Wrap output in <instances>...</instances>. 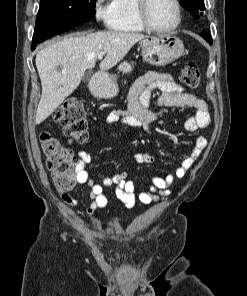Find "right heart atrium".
Segmentation results:
<instances>
[{"label":"right heart atrium","instance_id":"right-heart-atrium-1","mask_svg":"<svg viewBox=\"0 0 247 296\" xmlns=\"http://www.w3.org/2000/svg\"><path fill=\"white\" fill-rule=\"evenodd\" d=\"M93 13L98 23L103 26L110 27L114 20L112 0H94Z\"/></svg>","mask_w":247,"mask_h":296}]
</instances>
